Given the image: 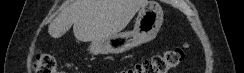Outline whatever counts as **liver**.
Returning a JSON list of instances; mask_svg holds the SVG:
<instances>
[{
    "label": "liver",
    "mask_w": 244,
    "mask_h": 73,
    "mask_svg": "<svg viewBox=\"0 0 244 73\" xmlns=\"http://www.w3.org/2000/svg\"><path fill=\"white\" fill-rule=\"evenodd\" d=\"M148 0H72L50 23L48 33L62 37L73 25L77 40L101 41L123 30Z\"/></svg>",
    "instance_id": "liver-1"
}]
</instances>
